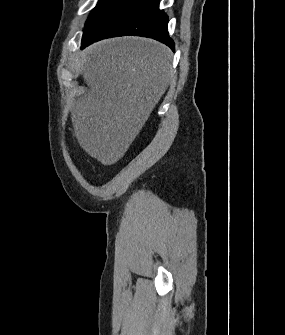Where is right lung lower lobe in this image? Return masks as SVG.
<instances>
[{
	"instance_id": "right-lung-lower-lobe-1",
	"label": "right lung lower lobe",
	"mask_w": 285,
	"mask_h": 335,
	"mask_svg": "<svg viewBox=\"0 0 285 335\" xmlns=\"http://www.w3.org/2000/svg\"><path fill=\"white\" fill-rule=\"evenodd\" d=\"M167 25L159 0H122L82 38L81 48L105 38L134 35L153 38L174 51Z\"/></svg>"
}]
</instances>
